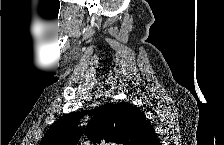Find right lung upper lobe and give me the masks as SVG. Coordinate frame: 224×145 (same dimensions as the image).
<instances>
[{
	"label": "right lung upper lobe",
	"instance_id": "right-lung-upper-lobe-1",
	"mask_svg": "<svg viewBox=\"0 0 224 145\" xmlns=\"http://www.w3.org/2000/svg\"><path fill=\"white\" fill-rule=\"evenodd\" d=\"M88 113L94 117L84 130L78 127L82 112L59 118L47 130L41 145H75L83 133L102 145H153L158 141L143 112L130 103H106Z\"/></svg>",
	"mask_w": 224,
	"mask_h": 145
}]
</instances>
